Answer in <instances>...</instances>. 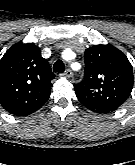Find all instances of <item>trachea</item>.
Returning <instances> with one entry per match:
<instances>
[{
    "label": "trachea",
    "instance_id": "obj_1",
    "mask_svg": "<svg viewBox=\"0 0 135 165\" xmlns=\"http://www.w3.org/2000/svg\"><path fill=\"white\" fill-rule=\"evenodd\" d=\"M65 70V65L63 61L57 60L53 65V71L56 73H62Z\"/></svg>",
    "mask_w": 135,
    "mask_h": 165
}]
</instances>
